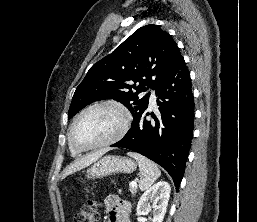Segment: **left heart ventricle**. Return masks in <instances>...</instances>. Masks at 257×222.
<instances>
[{
  "label": "left heart ventricle",
  "mask_w": 257,
  "mask_h": 222,
  "mask_svg": "<svg viewBox=\"0 0 257 222\" xmlns=\"http://www.w3.org/2000/svg\"><path fill=\"white\" fill-rule=\"evenodd\" d=\"M121 114L114 108H96L78 121L73 138L81 147H88L112 137L121 126Z\"/></svg>",
  "instance_id": "1"
}]
</instances>
